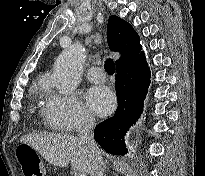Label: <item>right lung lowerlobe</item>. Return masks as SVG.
<instances>
[{
	"label": "right lung lower lobe",
	"mask_w": 205,
	"mask_h": 176,
	"mask_svg": "<svg viewBox=\"0 0 205 176\" xmlns=\"http://www.w3.org/2000/svg\"><path fill=\"white\" fill-rule=\"evenodd\" d=\"M116 70L118 108L112 118L96 126L94 139L106 152L124 155L128 152L124 135L142 113L150 83V71L143 52L128 63L116 67Z\"/></svg>",
	"instance_id": "right-lung-lower-lobe-1"
}]
</instances>
